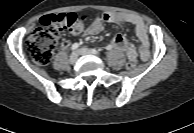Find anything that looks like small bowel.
<instances>
[{"label":"small bowel","instance_id":"small-bowel-1","mask_svg":"<svg viewBox=\"0 0 194 133\" xmlns=\"http://www.w3.org/2000/svg\"><path fill=\"white\" fill-rule=\"evenodd\" d=\"M125 23L133 26L135 34L138 38V45L129 42L123 34H117L108 46V49H117L126 52L128 61H147L150 55V42L148 31L143 20L130 13L123 12H104L98 15L86 32L95 35L103 30V23Z\"/></svg>","mask_w":194,"mask_h":133}]
</instances>
